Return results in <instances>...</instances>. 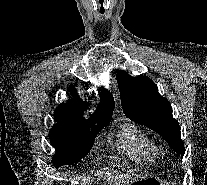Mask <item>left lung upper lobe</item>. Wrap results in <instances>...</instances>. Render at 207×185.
I'll return each mask as SVG.
<instances>
[{
    "instance_id": "obj_1",
    "label": "left lung upper lobe",
    "mask_w": 207,
    "mask_h": 185,
    "mask_svg": "<svg viewBox=\"0 0 207 185\" xmlns=\"http://www.w3.org/2000/svg\"><path fill=\"white\" fill-rule=\"evenodd\" d=\"M117 82L125 115L160 134L183 157L185 148L179 123L172 116L171 104L159 94L154 82L146 76L132 77L123 70L117 73Z\"/></svg>"
}]
</instances>
